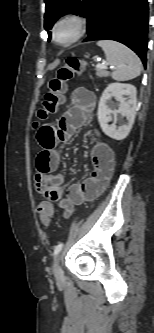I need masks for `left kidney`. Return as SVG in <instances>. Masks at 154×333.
I'll return each mask as SVG.
<instances>
[{"instance_id": "5707ae66", "label": "left kidney", "mask_w": 154, "mask_h": 333, "mask_svg": "<svg viewBox=\"0 0 154 333\" xmlns=\"http://www.w3.org/2000/svg\"><path fill=\"white\" fill-rule=\"evenodd\" d=\"M124 96H128L125 98ZM112 97L119 102L118 109L110 103ZM137 110V91L131 84L111 83L103 91L98 105V121L102 131L112 139L123 140L130 133L134 124ZM126 117V122L120 121L117 126L118 115ZM113 124H109L112 122Z\"/></svg>"}]
</instances>
